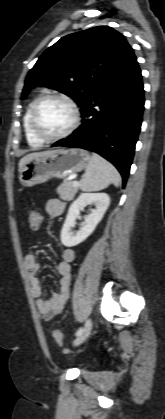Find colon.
<instances>
[{"instance_id":"5ec220e1","label":"colon","mask_w":165,"mask_h":419,"mask_svg":"<svg viewBox=\"0 0 165 419\" xmlns=\"http://www.w3.org/2000/svg\"><path fill=\"white\" fill-rule=\"evenodd\" d=\"M28 219H29V223L32 229H37L39 227L41 223V215L38 211L36 210L30 211ZM54 339L59 346L61 347L64 346L65 340L60 330L56 329L54 331Z\"/></svg>"}]
</instances>
